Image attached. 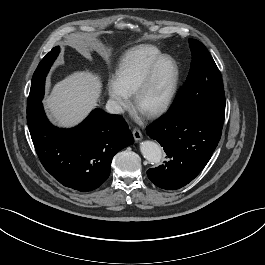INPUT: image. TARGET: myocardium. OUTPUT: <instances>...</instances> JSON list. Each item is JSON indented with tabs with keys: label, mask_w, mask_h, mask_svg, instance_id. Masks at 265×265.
<instances>
[{
	"label": "myocardium",
	"mask_w": 265,
	"mask_h": 265,
	"mask_svg": "<svg viewBox=\"0 0 265 265\" xmlns=\"http://www.w3.org/2000/svg\"><path fill=\"white\" fill-rule=\"evenodd\" d=\"M164 63H168L170 65L171 74H172L168 92L164 97V99L158 105L148 110H143L140 107V102L144 94L148 90L149 86L151 85L157 73V70ZM179 79H180V72L178 64L175 61V59L168 55H162L158 57L150 65L149 69L147 70L144 77L142 78V80L140 81V83L138 84V86L136 87L135 91L132 94L134 108L149 118H155L161 116L171 107V105L174 102L179 85Z\"/></svg>",
	"instance_id": "obj_1"
}]
</instances>
